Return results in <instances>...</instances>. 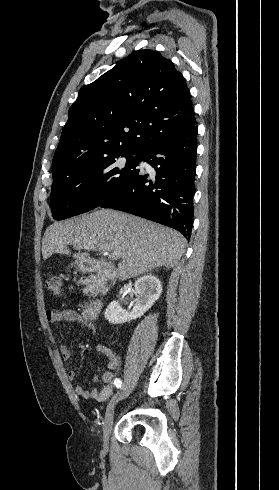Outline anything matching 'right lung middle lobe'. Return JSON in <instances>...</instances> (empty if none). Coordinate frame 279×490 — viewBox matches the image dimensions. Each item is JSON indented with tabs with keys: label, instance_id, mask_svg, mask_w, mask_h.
<instances>
[{
	"label": "right lung middle lobe",
	"instance_id": "right-lung-middle-lobe-1",
	"mask_svg": "<svg viewBox=\"0 0 279 490\" xmlns=\"http://www.w3.org/2000/svg\"><path fill=\"white\" fill-rule=\"evenodd\" d=\"M111 151L80 165L71 173L53 178L51 212L56 220L88 212L112 197L119 188L140 172V156ZM126 157L122 163L119 157Z\"/></svg>",
	"mask_w": 279,
	"mask_h": 490
}]
</instances>
